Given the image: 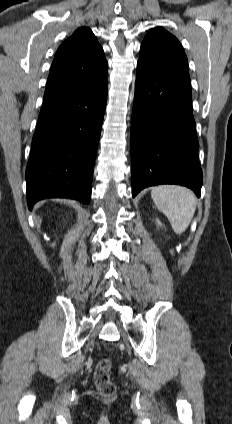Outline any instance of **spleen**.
Wrapping results in <instances>:
<instances>
[{
    "instance_id": "3e777b00",
    "label": "spleen",
    "mask_w": 232,
    "mask_h": 424,
    "mask_svg": "<svg viewBox=\"0 0 232 424\" xmlns=\"http://www.w3.org/2000/svg\"><path fill=\"white\" fill-rule=\"evenodd\" d=\"M151 197L158 210L169 219L175 233H183L195 213L194 193L178 185H161L152 189Z\"/></svg>"
}]
</instances>
